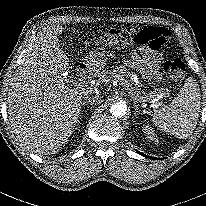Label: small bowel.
Wrapping results in <instances>:
<instances>
[{
  "instance_id": "small-bowel-1",
  "label": "small bowel",
  "mask_w": 206,
  "mask_h": 206,
  "mask_svg": "<svg viewBox=\"0 0 206 206\" xmlns=\"http://www.w3.org/2000/svg\"><path fill=\"white\" fill-rule=\"evenodd\" d=\"M162 54L140 48L136 51L130 61V65L138 67L145 78H153L159 75V68L163 62Z\"/></svg>"
}]
</instances>
